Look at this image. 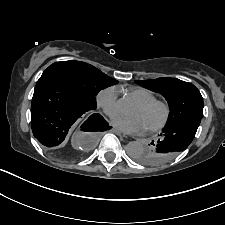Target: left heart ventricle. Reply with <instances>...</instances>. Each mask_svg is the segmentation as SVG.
I'll return each instance as SVG.
<instances>
[{"instance_id": "obj_1", "label": "left heart ventricle", "mask_w": 225, "mask_h": 225, "mask_svg": "<svg viewBox=\"0 0 225 225\" xmlns=\"http://www.w3.org/2000/svg\"><path fill=\"white\" fill-rule=\"evenodd\" d=\"M133 115L142 117L147 127H150L156 125L162 120L164 110L161 106H154L149 109H144L141 106L136 105L133 110Z\"/></svg>"}]
</instances>
